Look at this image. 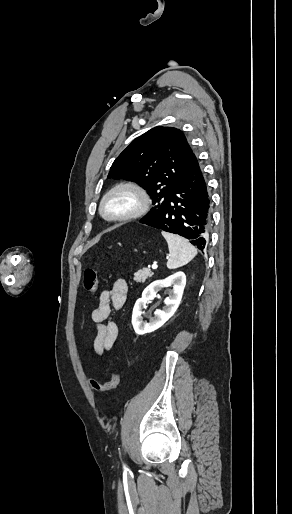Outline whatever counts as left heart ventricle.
Returning <instances> with one entry per match:
<instances>
[{"instance_id": "left-heart-ventricle-1", "label": "left heart ventricle", "mask_w": 292, "mask_h": 514, "mask_svg": "<svg viewBox=\"0 0 292 514\" xmlns=\"http://www.w3.org/2000/svg\"><path fill=\"white\" fill-rule=\"evenodd\" d=\"M132 203V200L127 195H119L115 197L108 205L109 213H119L127 209Z\"/></svg>"}]
</instances>
